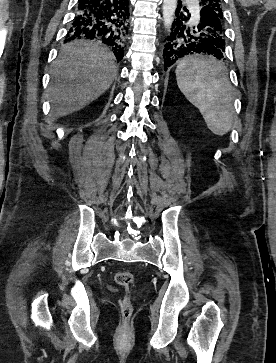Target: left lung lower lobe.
Masks as SVG:
<instances>
[{"label": "left lung lower lobe", "instance_id": "left-lung-lower-lobe-1", "mask_svg": "<svg viewBox=\"0 0 276 363\" xmlns=\"http://www.w3.org/2000/svg\"><path fill=\"white\" fill-rule=\"evenodd\" d=\"M179 2L169 36L163 50L164 70H168L175 62L198 53L224 58L225 41L222 23L209 7H203L194 24L189 23L190 14Z\"/></svg>", "mask_w": 276, "mask_h": 363}]
</instances>
